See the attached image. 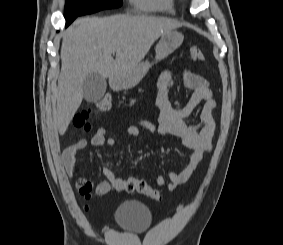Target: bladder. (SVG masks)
<instances>
[{
	"label": "bladder",
	"mask_w": 283,
	"mask_h": 245,
	"mask_svg": "<svg viewBox=\"0 0 283 245\" xmlns=\"http://www.w3.org/2000/svg\"><path fill=\"white\" fill-rule=\"evenodd\" d=\"M115 221L123 230L139 233L150 226L152 213L145 204L129 200L116 208Z\"/></svg>",
	"instance_id": "bladder-1"
}]
</instances>
